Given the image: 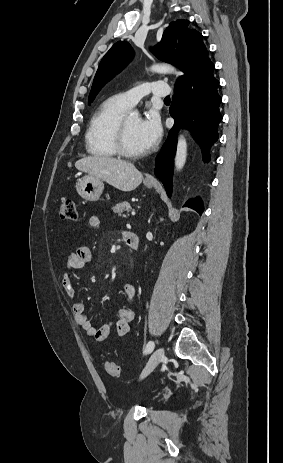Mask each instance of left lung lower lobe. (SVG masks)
<instances>
[{"instance_id": "0a47b994", "label": "left lung lower lobe", "mask_w": 283, "mask_h": 463, "mask_svg": "<svg viewBox=\"0 0 283 463\" xmlns=\"http://www.w3.org/2000/svg\"><path fill=\"white\" fill-rule=\"evenodd\" d=\"M213 71L214 64L208 60L195 67L175 87L169 110L175 124L162 152L156 158L155 168V175L165 186L169 197L172 193L173 158L178 129L184 127L192 131L204 162L210 160V148L218 140V125L222 120L219 105L222 98L217 92L219 81L213 76ZM184 206L196 210L200 215L203 212L199 197L188 200Z\"/></svg>"}]
</instances>
